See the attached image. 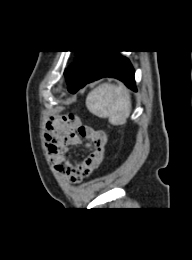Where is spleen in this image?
I'll list each match as a JSON object with an SVG mask.
<instances>
[{"instance_id": "obj_1", "label": "spleen", "mask_w": 192, "mask_h": 260, "mask_svg": "<svg viewBox=\"0 0 192 260\" xmlns=\"http://www.w3.org/2000/svg\"><path fill=\"white\" fill-rule=\"evenodd\" d=\"M87 109L99 118H108L112 125H124L131 113V97L122 85L103 83L86 98Z\"/></svg>"}]
</instances>
